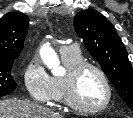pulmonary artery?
I'll use <instances>...</instances> for the list:
<instances>
[{
    "label": "pulmonary artery",
    "mask_w": 133,
    "mask_h": 118,
    "mask_svg": "<svg viewBox=\"0 0 133 118\" xmlns=\"http://www.w3.org/2000/svg\"><path fill=\"white\" fill-rule=\"evenodd\" d=\"M60 52L62 55L77 53L79 48L76 45H64L61 47Z\"/></svg>",
    "instance_id": "pulmonary-artery-1"
}]
</instances>
